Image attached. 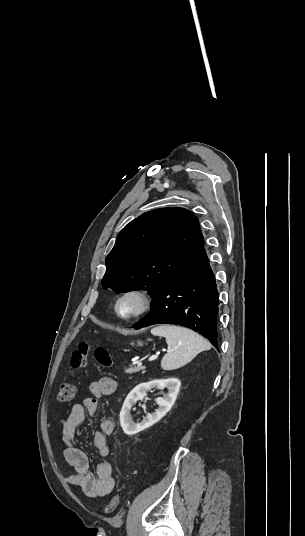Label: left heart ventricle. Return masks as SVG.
<instances>
[{
  "label": "left heart ventricle",
  "instance_id": "obj_1",
  "mask_svg": "<svg viewBox=\"0 0 305 536\" xmlns=\"http://www.w3.org/2000/svg\"><path fill=\"white\" fill-rule=\"evenodd\" d=\"M142 301L137 295H127L118 303V310L122 316H131L140 310Z\"/></svg>",
  "mask_w": 305,
  "mask_h": 536
}]
</instances>
